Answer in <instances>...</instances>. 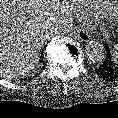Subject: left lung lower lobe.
<instances>
[{
	"mask_svg": "<svg viewBox=\"0 0 118 118\" xmlns=\"http://www.w3.org/2000/svg\"><path fill=\"white\" fill-rule=\"evenodd\" d=\"M104 48L108 53L102 64L96 69V73L105 81L118 82V62L112 60L107 44L104 45Z\"/></svg>",
	"mask_w": 118,
	"mask_h": 118,
	"instance_id": "obj_1",
	"label": "left lung lower lobe"
}]
</instances>
